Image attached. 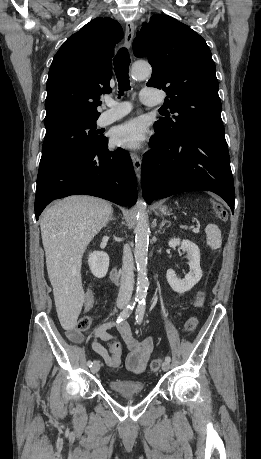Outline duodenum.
I'll list each match as a JSON object with an SVG mask.
<instances>
[{
  "label": "duodenum",
  "mask_w": 261,
  "mask_h": 459,
  "mask_svg": "<svg viewBox=\"0 0 261 459\" xmlns=\"http://www.w3.org/2000/svg\"><path fill=\"white\" fill-rule=\"evenodd\" d=\"M111 275L113 278H117L119 276V270L118 268H113L112 271H111Z\"/></svg>",
  "instance_id": "duodenum-1"
}]
</instances>
